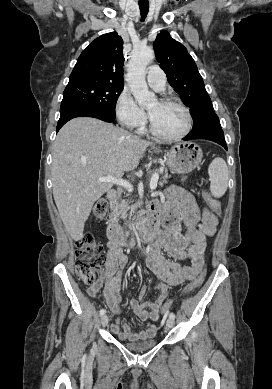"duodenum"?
Returning <instances> with one entry per match:
<instances>
[{
  "label": "duodenum",
  "instance_id": "duodenum-1",
  "mask_svg": "<svg viewBox=\"0 0 272 389\" xmlns=\"http://www.w3.org/2000/svg\"><path fill=\"white\" fill-rule=\"evenodd\" d=\"M107 198L111 204H114L118 198V192L115 189H110L107 192ZM159 223V213L150 208L147 210L144 222L135 223L130 232H125L117 221L112 220L108 225L107 236L110 242L131 247L137 242H147L153 239L157 234Z\"/></svg>",
  "mask_w": 272,
  "mask_h": 389
}]
</instances>
